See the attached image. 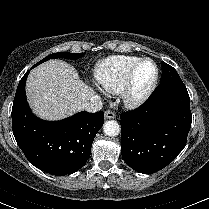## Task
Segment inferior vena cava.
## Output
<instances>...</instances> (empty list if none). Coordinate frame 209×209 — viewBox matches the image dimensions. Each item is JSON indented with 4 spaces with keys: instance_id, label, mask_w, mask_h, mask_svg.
I'll return each mask as SVG.
<instances>
[{
    "instance_id": "inferior-vena-cava-1",
    "label": "inferior vena cava",
    "mask_w": 209,
    "mask_h": 209,
    "mask_svg": "<svg viewBox=\"0 0 209 209\" xmlns=\"http://www.w3.org/2000/svg\"><path fill=\"white\" fill-rule=\"evenodd\" d=\"M102 108V102L98 95L93 96L89 101H85L78 106V110L95 113Z\"/></svg>"
}]
</instances>
